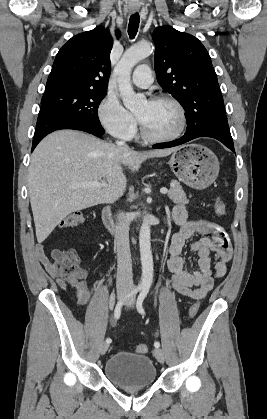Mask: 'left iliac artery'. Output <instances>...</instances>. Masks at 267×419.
Returning a JSON list of instances; mask_svg holds the SVG:
<instances>
[{"label":"left iliac artery","mask_w":267,"mask_h":419,"mask_svg":"<svg viewBox=\"0 0 267 419\" xmlns=\"http://www.w3.org/2000/svg\"><path fill=\"white\" fill-rule=\"evenodd\" d=\"M148 292H149V287H143L142 291L140 292V294L137 298L136 307H137L138 312L142 315H145V311H144V308H143V301H144L145 297L147 296ZM154 346H155V348H159L160 343L156 341L154 343Z\"/></svg>","instance_id":"44dca946"}]
</instances>
